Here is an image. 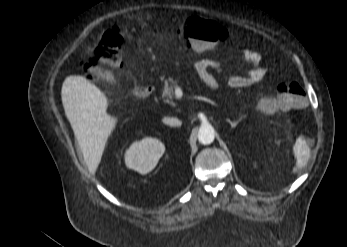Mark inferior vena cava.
<instances>
[{"label": "inferior vena cava", "instance_id": "602c4592", "mask_svg": "<svg viewBox=\"0 0 347 247\" xmlns=\"http://www.w3.org/2000/svg\"><path fill=\"white\" fill-rule=\"evenodd\" d=\"M163 122L165 124L172 125V126H179V125H181V121L176 119V118L165 117V118H163Z\"/></svg>", "mask_w": 347, "mask_h": 247}]
</instances>
